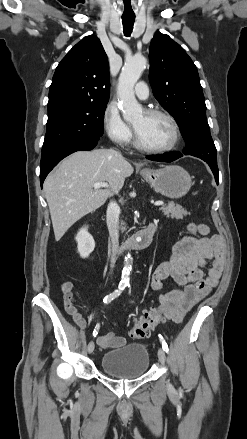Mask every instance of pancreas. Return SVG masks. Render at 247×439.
<instances>
[{
	"instance_id": "pancreas-1",
	"label": "pancreas",
	"mask_w": 247,
	"mask_h": 439,
	"mask_svg": "<svg viewBox=\"0 0 247 439\" xmlns=\"http://www.w3.org/2000/svg\"><path fill=\"white\" fill-rule=\"evenodd\" d=\"M160 210L167 217L175 219H183L184 216L190 214V212H187V210L182 208V206L174 204L173 202H169L168 205L161 207ZM123 229H125V227H123Z\"/></svg>"
}]
</instances>
